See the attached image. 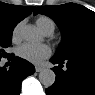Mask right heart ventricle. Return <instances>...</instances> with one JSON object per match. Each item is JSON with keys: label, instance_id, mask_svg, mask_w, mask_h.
Here are the masks:
<instances>
[{"label": "right heart ventricle", "instance_id": "1", "mask_svg": "<svg viewBox=\"0 0 95 95\" xmlns=\"http://www.w3.org/2000/svg\"><path fill=\"white\" fill-rule=\"evenodd\" d=\"M36 24L39 27V29L41 31L48 32L51 31L53 32L55 29V23L52 19H50L49 17L46 16H40L37 20H36Z\"/></svg>", "mask_w": 95, "mask_h": 95}]
</instances>
